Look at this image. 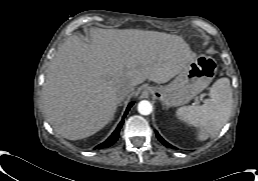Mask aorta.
I'll return each instance as SVG.
<instances>
[{
    "mask_svg": "<svg viewBox=\"0 0 258 181\" xmlns=\"http://www.w3.org/2000/svg\"><path fill=\"white\" fill-rule=\"evenodd\" d=\"M138 112L142 115H149L152 112V104L147 100L138 103Z\"/></svg>",
    "mask_w": 258,
    "mask_h": 181,
    "instance_id": "762f6f07",
    "label": "aorta"
}]
</instances>
